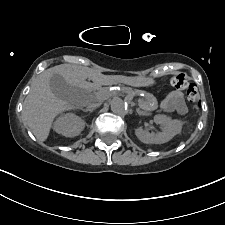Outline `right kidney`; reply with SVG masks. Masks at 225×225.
<instances>
[{"label": "right kidney", "mask_w": 225, "mask_h": 225, "mask_svg": "<svg viewBox=\"0 0 225 225\" xmlns=\"http://www.w3.org/2000/svg\"><path fill=\"white\" fill-rule=\"evenodd\" d=\"M84 127V120L73 113L60 116L54 123V130L66 137L78 136Z\"/></svg>", "instance_id": "1"}]
</instances>
